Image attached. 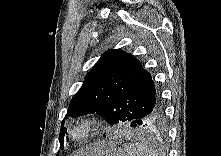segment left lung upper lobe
<instances>
[{
  "mask_svg": "<svg viewBox=\"0 0 221 156\" xmlns=\"http://www.w3.org/2000/svg\"><path fill=\"white\" fill-rule=\"evenodd\" d=\"M151 75L133 55L119 49L102 54L68 107V117L96 113L110 125L129 121L158 106Z\"/></svg>",
  "mask_w": 221,
  "mask_h": 156,
  "instance_id": "left-lung-upper-lobe-1",
  "label": "left lung upper lobe"
}]
</instances>
